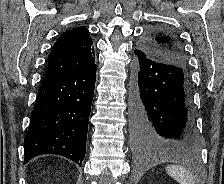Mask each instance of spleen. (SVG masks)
<instances>
[{
  "label": "spleen",
  "instance_id": "spleen-1",
  "mask_svg": "<svg viewBox=\"0 0 224 184\" xmlns=\"http://www.w3.org/2000/svg\"><path fill=\"white\" fill-rule=\"evenodd\" d=\"M166 171L179 184H195L192 174L182 166L169 165L166 167Z\"/></svg>",
  "mask_w": 224,
  "mask_h": 184
}]
</instances>
